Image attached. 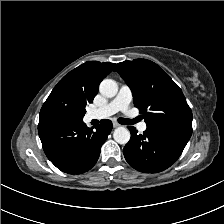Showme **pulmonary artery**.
Returning <instances> with one entry per match:
<instances>
[{
	"label": "pulmonary artery",
	"instance_id": "pulmonary-artery-1",
	"mask_svg": "<svg viewBox=\"0 0 224 224\" xmlns=\"http://www.w3.org/2000/svg\"><path fill=\"white\" fill-rule=\"evenodd\" d=\"M132 101V92L127 85H122L116 97L108 104L89 112L91 119H104L119 111L126 113ZM138 129L143 132L147 129V124L142 122Z\"/></svg>",
	"mask_w": 224,
	"mask_h": 224
}]
</instances>
